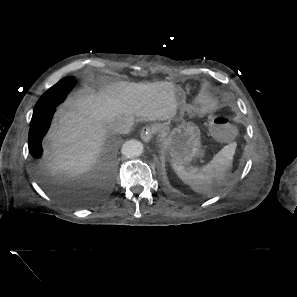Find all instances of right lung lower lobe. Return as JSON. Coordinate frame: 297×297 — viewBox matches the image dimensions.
Wrapping results in <instances>:
<instances>
[{"label": "right lung lower lobe", "mask_w": 297, "mask_h": 297, "mask_svg": "<svg viewBox=\"0 0 297 297\" xmlns=\"http://www.w3.org/2000/svg\"><path fill=\"white\" fill-rule=\"evenodd\" d=\"M63 101L64 100L56 104L54 107H52L49 111H47L42 116L31 119L28 145H29L30 154L35 159H40L43 154V150L41 146L42 139L46 135L49 129L56 107Z\"/></svg>", "instance_id": "1"}]
</instances>
